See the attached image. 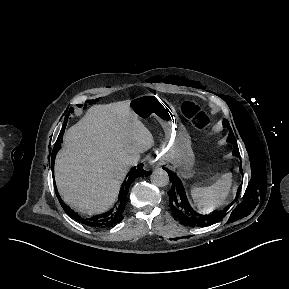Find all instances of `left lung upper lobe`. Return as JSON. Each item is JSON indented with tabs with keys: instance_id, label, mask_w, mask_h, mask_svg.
<instances>
[{
	"instance_id": "left-lung-upper-lobe-1",
	"label": "left lung upper lobe",
	"mask_w": 289,
	"mask_h": 289,
	"mask_svg": "<svg viewBox=\"0 0 289 289\" xmlns=\"http://www.w3.org/2000/svg\"><path fill=\"white\" fill-rule=\"evenodd\" d=\"M223 125H224L225 127L229 128V136H228L227 141H228V142H231V143L234 145L233 155H235V156H237V157H240V153H239V149H238V146H237V142H236V139H235V137H234V134H233V132H232V130H231V128H230V125H229L228 121H227V120H226V121L224 120Z\"/></svg>"
}]
</instances>
